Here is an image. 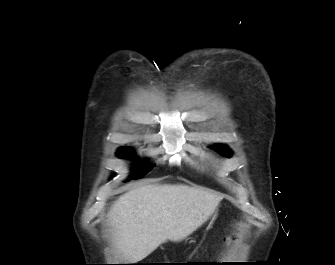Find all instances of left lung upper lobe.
<instances>
[{"label": "left lung upper lobe", "instance_id": "5c2ea615", "mask_svg": "<svg viewBox=\"0 0 335 265\" xmlns=\"http://www.w3.org/2000/svg\"><path fill=\"white\" fill-rule=\"evenodd\" d=\"M213 149L225 157H230L231 155L229 149L224 145H216Z\"/></svg>", "mask_w": 335, "mask_h": 265}]
</instances>
